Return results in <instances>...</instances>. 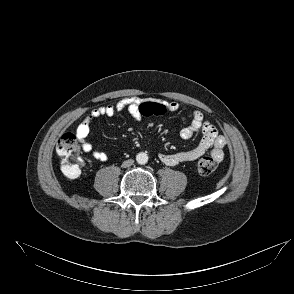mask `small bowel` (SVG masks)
<instances>
[{
  "label": "small bowel",
  "mask_w": 294,
  "mask_h": 294,
  "mask_svg": "<svg viewBox=\"0 0 294 294\" xmlns=\"http://www.w3.org/2000/svg\"><path fill=\"white\" fill-rule=\"evenodd\" d=\"M143 101V99L138 97H129L118 101L116 104L100 106L91 110L76 129V136L81 142L82 150L91 154L98 161H107L108 156L104 152L96 150L93 145L86 140L90 133L91 122L102 116L111 117L125 109L135 112ZM150 101L163 106L166 112H175L179 108V104L175 101ZM197 133H202V139L195 148L169 154L160 153V161L165 165L175 166L184 162L196 161L207 152H210V155L216 159V161H222L224 158L226 139L223 135L218 133L213 124L204 120L203 113L199 110L193 112L189 124L180 131V136L182 139L187 140Z\"/></svg>",
  "instance_id": "c3829d8e"
}]
</instances>
